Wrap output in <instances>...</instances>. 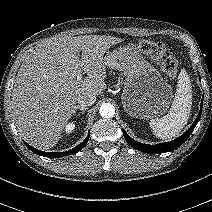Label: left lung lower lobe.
<instances>
[{
  "label": "left lung lower lobe",
  "instance_id": "obj_1",
  "mask_svg": "<svg viewBox=\"0 0 212 212\" xmlns=\"http://www.w3.org/2000/svg\"><path fill=\"white\" fill-rule=\"evenodd\" d=\"M202 104H203V99L201 102V108L198 113V116H197L196 120L194 121V123L191 125V127L183 135H181L180 137H178L177 139H175L173 141L160 143L157 145L142 144L140 142L133 140L123 130L124 138L128 142L129 145H131L134 149L139 150L141 152H145V153H149V154H158V153L173 151L176 148H178L180 145H182L189 138L190 134L193 132L195 126L197 125V123L199 122L200 117H201Z\"/></svg>",
  "mask_w": 212,
  "mask_h": 212
}]
</instances>
